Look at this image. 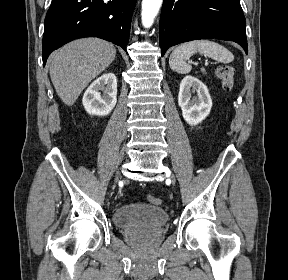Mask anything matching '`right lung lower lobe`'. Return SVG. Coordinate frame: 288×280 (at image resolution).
<instances>
[{"instance_id": "1", "label": "right lung lower lobe", "mask_w": 288, "mask_h": 280, "mask_svg": "<svg viewBox=\"0 0 288 280\" xmlns=\"http://www.w3.org/2000/svg\"><path fill=\"white\" fill-rule=\"evenodd\" d=\"M136 0H53L44 22L42 58L65 43L98 37L126 50Z\"/></svg>"}]
</instances>
